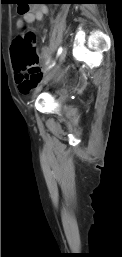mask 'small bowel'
Listing matches in <instances>:
<instances>
[{
	"label": "small bowel",
	"instance_id": "obj_1",
	"mask_svg": "<svg viewBox=\"0 0 122 257\" xmlns=\"http://www.w3.org/2000/svg\"><path fill=\"white\" fill-rule=\"evenodd\" d=\"M49 13L48 8L45 5H38L32 8V10L23 14V17L17 21V28L21 29L25 24L41 21ZM51 55L47 49L42 51V63L40 67V74L36 78L28 77L24 72L16 71L15 79L18 85V89L22 94H29L33 87H35L42 76V71L50 66Z\"/></svg>",
	"mask_w": 122,
	"mask_h": 257
}]
</instances>
